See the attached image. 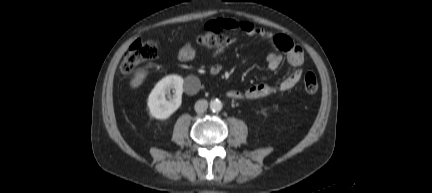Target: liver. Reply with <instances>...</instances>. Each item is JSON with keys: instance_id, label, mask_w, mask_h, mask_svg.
<instances>
[{"instance_id": "6515ba94", "label": "liver", "mask_w": 432, "mask_h": 193, "mask_svg": "<svg viewBox=\"0 0 432 193\" xmlns=\"http://www.w3.org/2000/svg\"><path fill=\"white\" fill-rule=\"evenodd\" d=\"M145 76H146L145 71L137 72L135 75V78L130 82L131 87L137 88L138 86H140L142 84Z\"/></svg>"}]
</instances>
